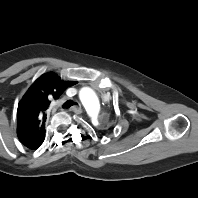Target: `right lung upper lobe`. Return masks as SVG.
<instances>
[{"mask_svg":"<svg viewBox=\"0 0 198 198\" xmlns=\"http://www.w3.org/2000/svg\"><path fill=\"white\" fill-rule=\"evenodd\" d=\"M60 77L48 72L41 75L28 89L18 104L17 135L22 144L37 149L44 141L46 110L68 86Z\"/></svg>","mask_w":198,"mask_h":198,"instance_id":"obj_1","label":"right lung upper lobe"}]
</instances>
